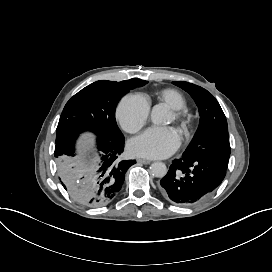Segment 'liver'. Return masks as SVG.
<instances>
[{
    "mask_svg": "<svg viewBox=\"0 0 272 272\" xmlns=\"http://www.w3.org/2000/svg\"><path fill=\"white\" fill-rule=\"evenodd\" d=\"M92 144L93 136L91 134L82 135L81 139L78 142L77 147L80 154L76 156L75 162L71 164V166L73 167L72 172L78 178L85 176V174L90 170L89 165L85 164V162H83V159H85L86 152L90 150Z\"/></svg>",
    "mask_w": 272,
    "mask_h": 272,
    "instance_id": "obj_1",
    "label": "liver"
}]
</instances>
